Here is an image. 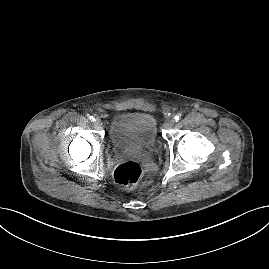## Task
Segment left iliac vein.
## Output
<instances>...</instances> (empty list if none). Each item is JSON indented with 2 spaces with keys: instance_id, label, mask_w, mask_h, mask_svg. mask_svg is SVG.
Here are the masks:
<instances>
[{
  "instance_id": "left-iliac-vein-1",
  "label": "left iliac vein",
  "mask_w": 269,
  "mask_h": 269,
  "mask_svg": "<svg viewBox=\"0 0 269 269\" xmlns=\"http://www.w3.org/2000/svg\"><path fill=\"white\" fill-rule=\"evenodd\" d=\"M174 125V120L173 119H168L164 123V128L165 129H170Z\"/></svg>"
}]
</instances>
